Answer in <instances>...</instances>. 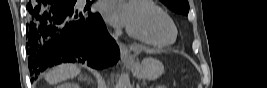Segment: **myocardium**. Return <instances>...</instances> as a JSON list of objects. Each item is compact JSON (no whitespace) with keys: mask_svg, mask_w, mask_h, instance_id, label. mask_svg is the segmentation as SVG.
I'll use <instances>...</instances> for the list:
<instances>
[{"mask_svg":"<svg viewBox=\"0 0 267 88\" xmlns=\"http://www.w3.org/2000/svg\"><path fill=\"white\" fill-rule=\"evenodd\" d=\"M132 4L145 5L151 9L158 11L160 14L167 17L173 25L175 35H174V38L170 42H154V41H151L149 39H146V38L138 35L134 31H132L129 27H127V33L131 37H133V38H135V39H137V40H139L145 44L152 45V46H158V47H165V46H169V45H172L175 43V41L177 40V37H178V28H177V25L175 24V22L173 21V19L164 10H162L160 7H157L154 4H152L151 2L146 1V0H135L132 2Z\"/></svg>","mask_w":267,"mask_h":88,"instance_id":"obj_1","label":"myocardium"}]
</instances>
